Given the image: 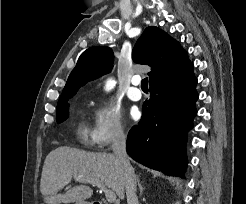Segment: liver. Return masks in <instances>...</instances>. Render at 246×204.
<instances>
[{
    "label": "liver",
    "instance_id": "1",
    "mask_svg": "<svg viewBox=\"0 0 246 204\" xmlns=\"http://www.w3.org/2000/svg\"><path fill=\"white\" fill-rule=\"evenodd\" d=\"M72 177L77 182H80L81 178L99 179L120 199L124 198V174L114 155L86 152L64 146L51 151L44 161L40 182L44 202L81 204L89 199L93 190L87 185H78L63 194L59 193L71 182Z\"/></svg>",
    "mask_w": 246,
    "mask_h": 204
}]
</instances>
